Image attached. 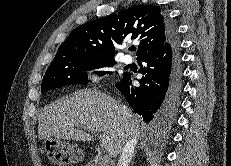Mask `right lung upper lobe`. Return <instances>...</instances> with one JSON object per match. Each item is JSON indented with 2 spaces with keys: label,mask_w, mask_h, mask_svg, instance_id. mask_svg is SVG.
I'll use <instances>...</instances> for the list:
<instances>
[{
  "label": "right lung upper lobe",
  "mask_w": 231,
  "mask_h": 166,
  "mask_svg": "<svg viewBox=\"0 0 231 166\" xmlns=\"http://www.w3.org/2000/svg\"><path fill=\"white\" fill-rule=\"evenodd\" d=\"M168 19L158 7L139 5L76 27L60 45L54 60L81 55L114 57V45L140 41L138 58L162 48L169 39Z\"/></svg>",
  "instance_id": "right-lung-upper-lobe-1"
}]
</instances>
